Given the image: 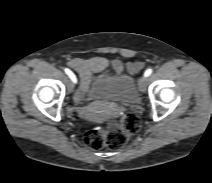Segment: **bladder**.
I'll return each mask as SVG.
<instances>
[{
	"mask_svg": "<svg viewBox=\"0 0 212 183\" xmlns=\"http://www.w3.org/2000/svg\"><path fill=\"white\" fill-rule=\"evenodd\" d=\"M90 101L110 99L125 104H135L137 89L134 78L127 74L118 76H98L87 94Z\"/></svg>",
	"mask_w": 212,
	"mask_h": 183,
	"instance_id": "1",
	"label": "bladder"
}]
</instances>
